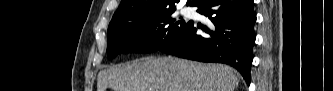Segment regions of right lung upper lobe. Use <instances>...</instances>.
Returning a JSON list of instances; mask_svg holds the SVG:
<instances>
[{
	"mask_svg": "<svg viewBox=\"0 0 333 91\" xmlns=\"http://www.w3.org/2000/svg\"><path fill=\"white\" fill-rule=\"evenodd\" d=\"M202 1L188 0L186 5L198 6ZM178 2L179 0H122L110 23L175 10V4Z\"/></svg>",
	"mask_w": 333,
	"mask_h": 91,
	"instance_id": "1",
	"label": "right lung upper lobe"
}]
</instances>
